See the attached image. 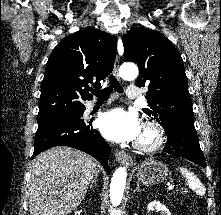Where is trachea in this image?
Returning a JSON list of instances; mask_svg holds the SVG:
<instances>
[{"mask_svg":"<svg viewBox=\"0 0 221 215\" xmlns=\"http://www.w3.org/2000/svg\"><path fill=\"white\" fill-rule=\"evenodd\" d=\"M109 81H110V85L107 88L102 89V90L92 91V93L98 98V100H105L113 90H115L119 93L123 92V88L119 84V82L117 81L115 76L110 75Z\"/></svg>","mask_w":221,"mask_h":215,"instance_id":"3493384b","label":"trachea"}]
</instances>
